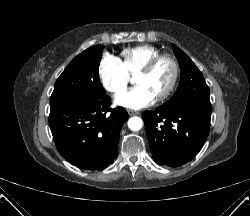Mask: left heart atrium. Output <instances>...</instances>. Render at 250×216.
I'll return each instance as SVG.
<instances>
[{
  "label": "left heart atrium",
  "mask_w": 250,
  "mask_h": 216,
  "mask_svg": "<svg viewBox=\"0 0 250 216\" xmlns=\"http://www.w3.org/2000/svg\"><path fill=\"white\" fill-rule=\"evenodd\" d=\"M154 98V94L145 85L139 84L118 95L115 102L122 107L141 109L149 106Z\"/></svg>",
  "instance_id": "1"
}]
</instances>
